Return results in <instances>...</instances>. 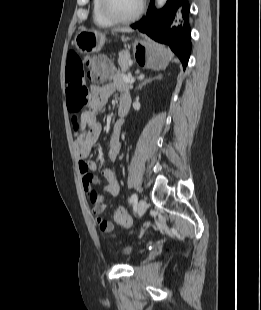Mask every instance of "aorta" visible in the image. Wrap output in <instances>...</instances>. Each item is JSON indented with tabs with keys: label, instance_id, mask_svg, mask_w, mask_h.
Wrapping results in <instances>:
<instances>
[{
	"label": "aorta",
	"instance_id": "1",
	"mask_svg": "<svg viewBox=\"0 0 261 310\" xmlns=\"http://www.w3.org/2000/svg\"><path fill=\"white\" fill-rule=\"evenodd\" d=\"M167 0H156V5L158 8H162Z\"/></svg>",
	"mask_w": 261,
	"mask_h": 310
}]
</instances>
